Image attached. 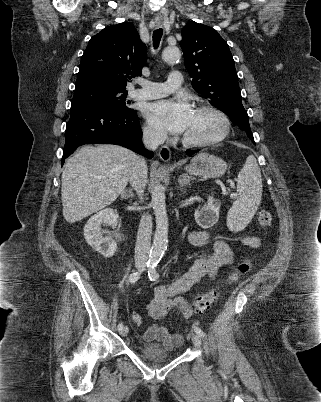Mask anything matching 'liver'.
Masks as SVG:
<instances>
[{
    "instance_id": "1",
    "label": "liver",
    "mask_w": 321,
    "mask_h": 402,
    "mask_svg": "<svg viewBox=\"0 0 321 402\" xmlns=\"http://www.w3.org/2000/svg\"><path fill=\"white\" fill-rule=\"evenodd\" d=\"M139 158L118 145L81 147L66 161L62 173L64 219L75 223L115 201Z\"/></svg>"
}]
</instances>
